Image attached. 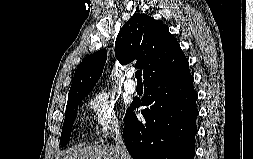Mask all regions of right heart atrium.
Here are the masks:
<instances>
[{
	"label": "right heart atrium",
	"mask_w": 253,
	"mask_h": 159,
	"mask_svg": "<svg viewBox=\"0 0 253 159\" xmlns=\"http://www.w3.org/2000/svg\"><path fill=\"white\" fill-rule=\"evenodd\" d=\"M93 125L100 141H106L122 128V119L115 101L105 93H96L88 101Z\"/></svg>",
	"instance_id": "d8ad5b80"
}]
</instances>
